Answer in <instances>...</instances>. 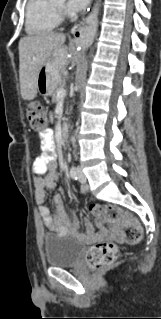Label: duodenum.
<instances>
[{
    "instance_id": "410a0bca",
    "label": "duodenum",
    "mask_w": 161,
    "mask_h": 319,
    "mask_svg": "<svg viewBox=\"0 0 161 319\" xmlns=\"http://www.w3.org/2000/svg\"><path fill=\"white\" fill-rule=\"evenodd\" d=\"M60 136L62 139H66L68 136V125L63 124L60 128Z\"/></svg>"
}]
</instances>
